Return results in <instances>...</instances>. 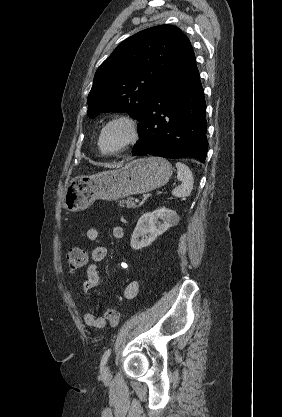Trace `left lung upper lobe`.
<instances>
[{"label":"left lung upper lobe","mask_w":282,"mask_h":417,"mask_svg":"<svg viewBox=\"0 0 282 417\" xmlns=\"http://www.w3.org/2000/svg\"><path fill=\"white\" fill-rule=\"evenodd\" d=\"M190 46L176 26L159 25L124 40L95 73L88 116L127 111L138 121L159 83Z\"/></svg>","instance_id":"1"}]
</instances>
